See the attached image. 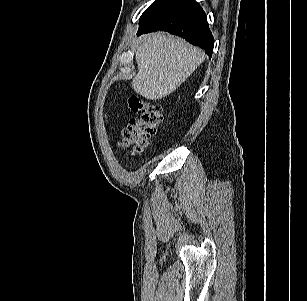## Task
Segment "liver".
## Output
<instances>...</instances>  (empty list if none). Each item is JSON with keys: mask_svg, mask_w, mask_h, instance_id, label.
I'll return each mask as SVG.
<instances>
[{"mask_svg": "<svg viewBox=\"0 0 307 301\" xmlns=\"http://www.w3.org/2000/svg\"><path fill=\"white\" fill-rule=\"evenodd\" d=\"M135 60L138 73L132 88L148 100H157L175 91L205 60V54L180 38L152 33L142 37Z\"/></svg>", "mask_w": 307, "mask_h": 301, "instance_id": "1", "label": "liver"}]
</instances>
